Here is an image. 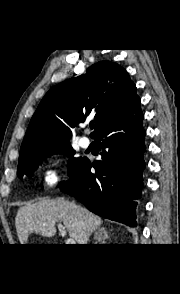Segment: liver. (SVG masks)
Listing matches in <instances>:
<instances>
[{
    "instance_id": "liver-1",
    "label": "liver",
    "mask_w": 180,
    "mask_h": 294,
    "mask_svg": "<svg viewBox=\"0 0 180 294\" xmlns=\"http://www.w3.org/2000/svg\"><path fill=\"white\" fill-rule=\"evenodd\" d=\"M58 221L63 222L69 236L81 245L87 244L91 233L102 224L100 217L74 202L42 199L20 207L17 212L15 227L20 244H26L31 233L53 237Z\"/></svg>"
}]
</instances>
